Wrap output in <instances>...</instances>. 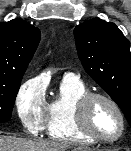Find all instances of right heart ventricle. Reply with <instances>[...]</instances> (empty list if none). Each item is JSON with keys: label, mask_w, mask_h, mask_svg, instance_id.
Wrapping results in <instances>:
<instances>
[{"label": "right heart ventricle", "mask_w": 131, "mask_h": 151, "mask_svg": "<svg viewBox=\"0 0 131 151\" xmlns=\"http://www.w3.org/2000/svg\"><path fill=\"white\" fill-rule=\"evenodd\" d=\"M88 92L80 79H62L59 95L47 104L44 128L50 139L68 143L94 142L79 131L75 120L76 104Z\"/></svg>", "instance_id": "e07e8e85"}]
</instances>
